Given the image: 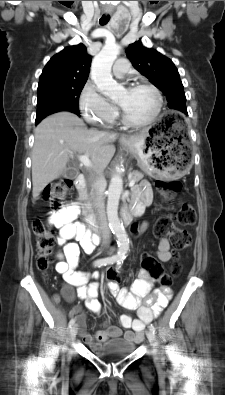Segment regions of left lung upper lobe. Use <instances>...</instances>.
I'll return each instance as SVG.
<instances>
[{"label":"left lung upper lobe","instance_id":"5c2ea615","mask_svg":"<svg viewBox=\"0 0 225 395\" xmlns=\"http://www.w3.org/2000/svg\"><path fill=\"white\" fill-rule=\"evenodd\" d=\"M126 53L133 67L167 97L169 108L188 115L183 84L174 63L158 51L144 47L141 40L130 44Z\"/></svg>","mask_w":225,"mask_h":395}]
</instances>
